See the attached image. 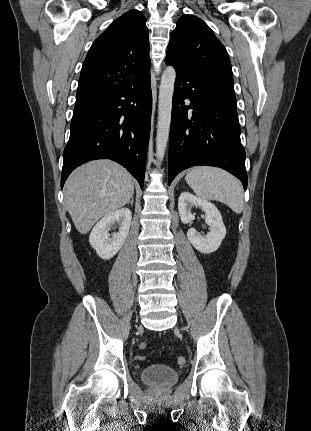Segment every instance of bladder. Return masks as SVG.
<instances>
[{"label":"bladder","instance_id":"obj_1","mask_svg":"<svg viewBox=\"0 0 311 431\" xmlns=\"http://www.w3.org/2000/svg\"><path fill=\"white\" fill-rule=\"evenodd\" d=\"M139 377L148 386L164 388L177 383L180 374L168 365L151 364L140 371Z\"/></svg>","mask_w":311,"mask_h":431}]
</instances>
